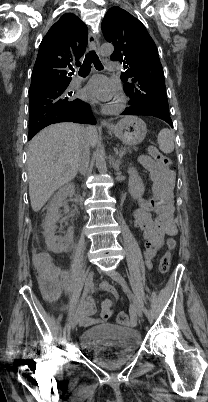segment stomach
Segmentation results:
<instances>
[{"label": "stomach", "instance_id": "0dacf381", "mask_svg": "<svg viewBox=\"0 0 208 402\" xmlns=\"http://www.w3.org/2000/svg\"><path fill=\"white\" fill-rule=\"evenodd\" d=\"M109 130L119 138L125 146H137L146 136V124L137 116H125L116 126H109Z\"/></svg>", "mask_w": 208, "mask_h": 402}]
</instances>
